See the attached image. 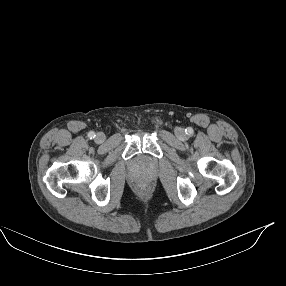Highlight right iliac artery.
I'll return each mask as SVG.
<instances>
[{
  "label": "right iliac artery",
  "instance_id": "right-iliac-artery-1",
  "mask_svg": "<svg viewBox=\"0 0 286 286\" xmlns=\"http://www.w3.org/2000/svg\"><path fill=\"white\" fill-rule=\"evenodd\" d=\"M95 133L93 132V131H91V132H89L88 133V137L90 138V139H93V138H95Z\"/></svg>",
  "mask_w": 286,
  "mask_h": 286
}]
</instances>
